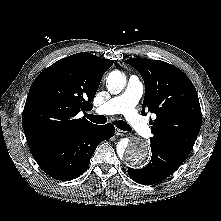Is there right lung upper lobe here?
<instances>
[{
    "label": "right lung upper lobe",
    "instance_id": "right-lung-upper-lobe-1",
    "mask_svg": "<svg viewBox=\"0 0 221 221\" xmlns=\"http://www.w3.org/2000/svg\"><path fill=\"white\" fill-rule=\"evenodd\" d=\"M113 60L81 52L46 68L34 80L22 116L30 149L95 124L75 116L90 110L105 71Z\"/></svg>",
    "mask_w": 221,
    "mask_h": 221
}]
</instances>
